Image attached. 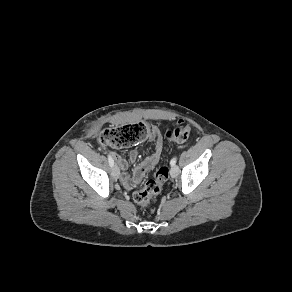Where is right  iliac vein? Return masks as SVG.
<instances>
[{"label": "right iliac vein", "instance_id": "right-iliac-vein-1", "mask_svg": "<svg viewBox=\"0 0 292 292\" xmlns=\"http://www.w3.org/2000/svg\"><path fill=\"white\" fill-rule=\"evenodd\" d=\"M119 174H120V172H119V168L117 167V165L113 166V168H112V177L114 179H117L119 177Z\"/></svg>", "mask_w": 292, "mask_h": 292}]
</instances>
